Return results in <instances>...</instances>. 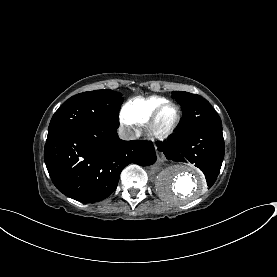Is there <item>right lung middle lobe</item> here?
<instances>
[{
  "instance_id": "obj_1",
  "label": "right lung middle lobe",
  "mask_w": 277,
  "mask_h": 277,
  "mask_svg": "<svg viewBox=\"0 0 277 277\" xmlns=\"http://www.w3.org/2000/svg\"><path fill=\"white\" fill-rule=\"evenodd\" d=\"M122 102L121 93L108 89L77 94L55 112L47 137L78 127L119 125L118 112Z\"/></svg>"
}]
</instances>
